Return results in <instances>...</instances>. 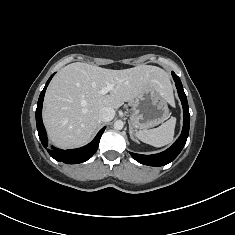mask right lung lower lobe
Wrapping results in <instances>:
<instances>
[{
    "instance_id": "right-lung-lower-lobe-1",
    "label": "right lung lower lobe",
    "mask_w": 235,
    "mask_h": 235,
    "mask_svg": "<svg viewBox=\"0 0 235 235\" xmlns=\"http://www.w3.org/2000/svg\"><path fill=\"white\" fill-rule=\"evenodd\" d=\"M53 75L48 79L43 91L41 92L38 103H37V109H36V125H37L38 135L42 142V145L45 148L48 146V139H47L46 131L42 122V105H43V99H44V94H45L47 85L49 84ZM104 130H105V127L102 128L98 132V134L96 135V137L91 143H89L88 145L84 147H81L78 149H71V150H60V149L53 148V149H47V151L51 155L52 158H54L55 160L59 162H64L66 164H78V163L85 162L89 158H91L93 154L96 152L101 135L104 132Z\"/></svg>"
}]
</instances>
